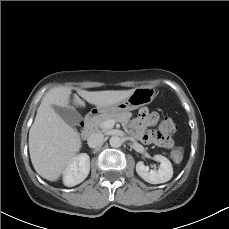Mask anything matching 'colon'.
I'll return each instance as SVG.
<instances>
[{
  "mask_svg": "<svg viewBox=\"0 0 229 229\" xmlns=\"http://www.w3.org/2000/svg\"><path fill=\"white\" fill-rule=\"evenodd\" d=\"M82 127V124L77 125V128ZM175 129V124L170 118L163 119L154 132V137L157 143L168 149L173 148L174 141L172 135L174 134ZM172 158L177 162L181 161L183 158V152L181 150H174L172 152Z\"/></svg>",
  "mask_w": 229,
  "mask_h": 229,
  "instance_id": "obj_1",
  "label": "colon"
}]
</instances>
